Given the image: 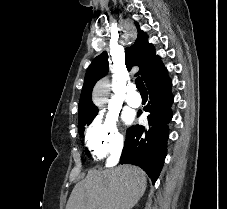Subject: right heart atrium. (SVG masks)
<instances>
[{
  "instance_id": "right-heart-atrium-1",
  "label": "right heart atrium",
  "mask_w": 227,
  "mask_h": 209,
  "mask_svg": "<svg viewBox=\"0 0 227 209\" xmlns=\"http://www.w3.org/2000/svg\"><path fill=\"white\" fill-rule=\"evenodd\" d=\"M85 143L94 159H102L121 150L123 137L114 118H96L86 130Z\"/></svg>"
}]
</instances>
